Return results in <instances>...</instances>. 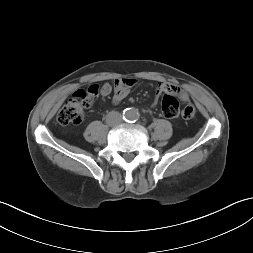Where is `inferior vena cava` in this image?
Returning <instances> with one entry per match:
<instances>
[{"mask_svg":"<svg viewBox=\"0 0 253 253\" xmlns=\"http://www.w3.org/2000/svg\"><path fill=\"white\" fill-rule=\"evenodd\" d=\"M122 121L121 114L117 111H111L107 114L106 122L110 126H116Z\"/></svg>","mask_w":253,"mask_h":253,"instance_id":"602c4592","label":"inferior vena cava"}]
</instances>
